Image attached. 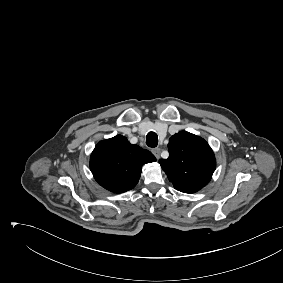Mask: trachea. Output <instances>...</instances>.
<instances>
[{
    "mask_svg": "<svg viewBox=\"0 0 283 283\" xmlns=\"http://www.w3.org/2000/svg\"><path fill=\"white\" fill-rule=\"evenodd\" d=\"M146 144L151 148H155L158 145V136L155 132H149L147 134Z\"/></svg>",
    "mask_w": 283,
    "mask_h": 283,
    "instance_id": "1",
    "label": "trachea"
}]
</instances>
